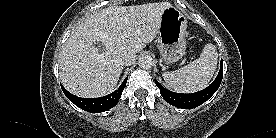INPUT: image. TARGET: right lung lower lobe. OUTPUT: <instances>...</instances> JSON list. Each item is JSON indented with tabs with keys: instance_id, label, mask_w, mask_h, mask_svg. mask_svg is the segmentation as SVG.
Returning a JSON list of instances; mask_svg holds the SVG:
<instances>
[{
	"instance_id": "98d812e1",
	"label": "right lung lower lobe",
	"mask_w": 276,
	"mask_h": 138,
	"mask_svg": "<svg viewBox=\"0 0 276 138\" xmlns=\"http://www.w3.org/2000/svg\"><path fill=\"white\" fill-rule=\"evenodd\" d=\"M126 83H127V78L123 81V83L116 91H114L113 93L107 96L99 97V98H80L69 93L62 85L61 87L66 97L70 101H72L76 106H78L79 108L87 112L100 113V112L108 111L118 103L121 97L122 91L126 86Z\"/></svg>"
}]
</instances>
